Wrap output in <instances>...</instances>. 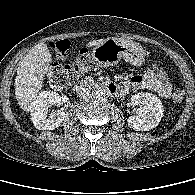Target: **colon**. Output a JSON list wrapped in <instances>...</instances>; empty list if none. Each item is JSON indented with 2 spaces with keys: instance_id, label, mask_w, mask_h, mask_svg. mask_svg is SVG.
Wrapping results in <instances>:
<instances>
[{
  "instance_id": "5ec220e1",
  "label": "colon",
  "mask_w": 195,
  "mask_h": 195,
  "mask_svg": "<svg viewBox=\"0 0 195 195\" xmlns=\"http://www.w3.org/2000/svg\"><path fill=\"white\" fill-rule=\"evenodd\" d=\"M52 49L56 52L59 58H64L67 55V51L70 44L67 40H60L51 45ZM90 66V56L87 51L82 52L77 60L72 64L66 65H53L48 72V79L50 84L58 89L65 88L74 84L79 77L87 71ZM149 72L158 80L167 81L168 76L163 68L158 65H154ZM184 98V92L182 90H175L172 93V99L175 102H181Z\"/></svg>"
}]
</instances>
